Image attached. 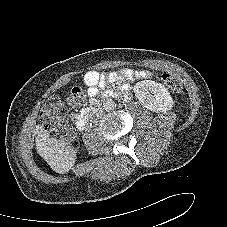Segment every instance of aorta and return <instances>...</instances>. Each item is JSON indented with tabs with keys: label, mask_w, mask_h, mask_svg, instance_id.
Instances as JSON below:
<instances>
[{
	"label": "aorta",
	"mask_w": 227,
	"mask_h": 227,
	"mask_svg": "<svg viewBox=\"0 0 227 227\" xmlns=\"http://www.w3.org/2000/svg\"><path fill=\"white\" fill-rule=\"evenodd\" d=\"M105 110H112L116 107L115 102L112 99H106L103 103Z\"/></svg>",
	"instance_id": "aorta-1"
}]
</instances>
